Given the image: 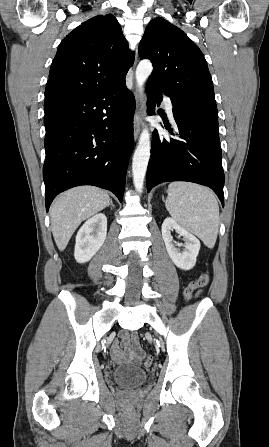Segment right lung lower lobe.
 <instances>
[{"label": "right lung lower lobe", "mask_w": 269, "mask_h": 447, "mask_svg": "<svg viewBox=\"0 0 269 447\" xmlns=\"http://www.w3.org/2000/svg\"><path fill=\"white\" fill-rule=\"evenodd\" d=\"M134 109L125 78L93 92L45 98L47 211L56 195L79 185L108 189L122 202Z\"/></svg>", "instance_id": "1"}]
</instances>
